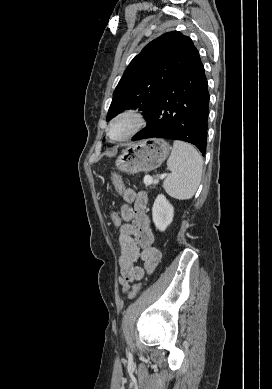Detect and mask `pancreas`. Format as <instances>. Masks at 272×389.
<instances>
[{"mask_svg": "<svg viewBox=\"0 0 272 389\" xmlns=\"http://www.w3.org/2000/svg\"><path fill=\"white\" fill-rule=\"evenodd\" d=\"M148 177H150V176H148ZM144 183H145V186H146V187L152 184V183H147V182H145V181H144ZM153 183H155V182H153Z\"/></svg>", "mask_w": 272, "mask_h": 389, "instance_id": "obj_1", "label": "pancreas"}]
</instances>
